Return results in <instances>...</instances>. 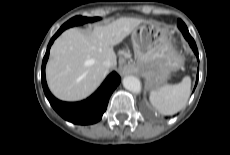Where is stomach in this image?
I'll list each match as a JSON object with an SVG mask.
<instances>
[{"mask_svg": "<svg viewBox=\"0 0 230 155\" xmlns=\"http://www.w3.org/2000/svg\"><path fill=\"white\" fill-rule=\"evenodd\" d=\"M167 26L144 21L132 32V43L139 64L144 67L147 86L154 90L161 86L170 72L183 65V57L174 49Z\"/></svg>", "mask_w": 230, "mask_h": 155, "instance_id": "stomach-1", "label": "stomach"}]
</instances>
